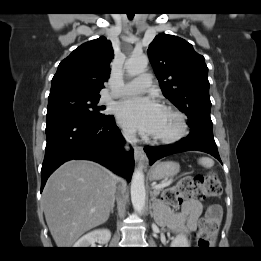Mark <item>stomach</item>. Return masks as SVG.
<instances>
[{
    "label": "stomach",
    "mask_w": 261,
    "mask_h": 261,
    "mask_svg": "<svg viewBox=\"0 0 261 261\" xmlns=\"http://www.w3.org/2000/svg\"><path fill=\"white\" fill-rule=\"evenodd\" d=\"M180 171V165L177 162L166 161L158 162L149 170V176L153 180H161L176 175Z\"/></svg>",
    "instance_id": "obj_1"
}]
</instances>
